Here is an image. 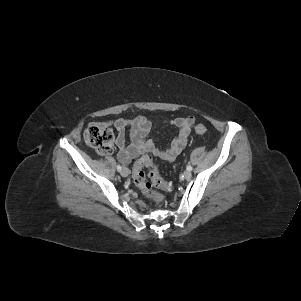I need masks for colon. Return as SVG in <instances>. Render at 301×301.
Segmentation results:
<instances>
[{"label":"colon","mask_w":301,"mask_h":301,"mask_svg":"<svg viewBox=\"0 0 301 301\" xmlns=\"http://www.w3.org/2000/svg\"><path fill=\"white\" fill-rule=\"evenodd\" d=\"M194 130L199 135L207 133L206 126L202 124L196 125ZM84 139L87 144L95 148L102 155L111 152L113 134L103 124L94 123L87 126L84 131ZM145 168L149 169L148 178L144 172ZM132 177L134 183L140 188L143 194L155 202L162 201V195L153 188L163 190L170 188V185L160 176L158 165L150 154L144 155L135 162Z\"/></svg>","instance_id":"obj_1"}]
</instances>
